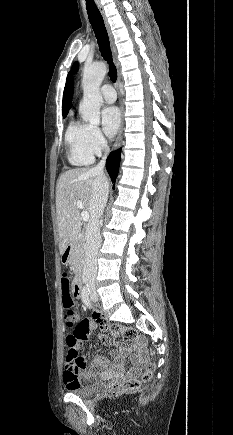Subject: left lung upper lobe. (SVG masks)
I'll return each mask as SVG.
<instances>
[{
    "mask_svg": "<svg viewBox=\"0 0 233 435\" xmlns=\"http://www.w3.org/2000/svg\"><path fill=\"white\" fill-rule=\"evenodd\" d=\"M77 69H78V63L75 62L74 65L72 66V72H76Z\"/></svg>",
    "mask_w": 233,
    "mask_h": 435,
    "instance_id": "1",
    "label": "left lung upper lobe"
}]
</instances>
